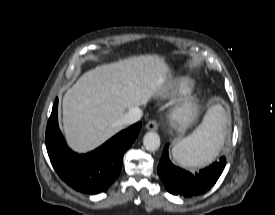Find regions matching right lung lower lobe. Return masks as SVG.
Here are the masks:
<instances>
[{
	"mask_svg": "<svg viewBox=\"0 0 275 215\" xmlns=\"http://www.w3.org/2000/svg\"><path fill=\"white\" fill-rule=\"evenodd\" d=\"M56 99L46 128V147L59 177L75 190L97 194L106 190L118 177L124 152L141 129L138 122L119 132L102 146L87 154L70 150L59 130Z\"/></svg>",
	"mask_w": 275,
	"mask_h": 215,
	"instance_id": "right-lung-lower-lobe-1",
	"label": "right lung lower lobe"
}]
</instances>
